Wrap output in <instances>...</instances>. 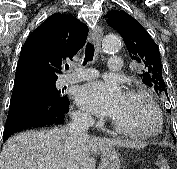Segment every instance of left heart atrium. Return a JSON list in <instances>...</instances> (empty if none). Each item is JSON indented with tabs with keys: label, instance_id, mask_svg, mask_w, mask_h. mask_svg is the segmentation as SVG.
Returning <instances> with one entry per match:
<instances>
[{
	"label": "left heart atrium",
	"instance_id": "39dd6f15",
	"mask_svg": "<svg viewBox=\"0 0 177 169\" xmlns=\"http://www.w3.org/2000/svg\"><path fill=\"white\" fill-rule=\"evenodd\" d=\"M124 97L120 85L114 81L96 80L77 88V105L97 116L112 117Z\"/></svg>",
	"mask_w": 177,
	"mask_h": 169
}]
</instances>
